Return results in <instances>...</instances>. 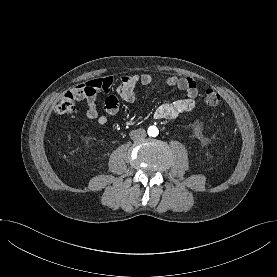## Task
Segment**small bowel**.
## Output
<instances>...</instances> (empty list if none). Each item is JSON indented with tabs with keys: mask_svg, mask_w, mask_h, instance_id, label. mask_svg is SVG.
Wrapping results in <instances>:
<instances>
[{
	"mask_svg": "<svg viewBox=\"0 0 277 277\" xmlns=\"http://www.w3.org/2000/svg\"><path fill=\"white\" fill-rule=\"evenodd\" d=\"M115 80L111 76H105L87 81L81 87L85 93L80 99L86 102V116L88 119L103 125L110 116L119 111V101L114 95H108L105 100V110L100 114L97 107V97L99 93H109L114 87ZM140 85L147 94L160 85L175 87L186 93V97L171 103H163L154 111V118L160 120H173L179 115L191 111L195 107V99L198 95L196 82L192 78L169 76L166 78L157 77L151 74H134L121 77L116 88L117 95L126 103L136 101L135 88Z\"/></svg>",
	"mask_w": 277,
	"mask_h": 277,
	"instance_id": "obj_1",
	"label": "small bowel"
}]
</instances>
